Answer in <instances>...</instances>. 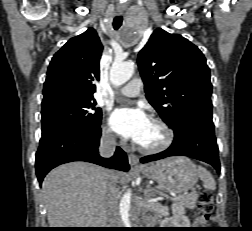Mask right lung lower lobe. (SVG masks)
<instances>
[{"mask_svg": "<svg viewBox=\"0 0 252 231\" xmlns=\"http://www.w3.org/2000/svg\"><path fill=\"white\" fill-rule=\"evenodd\" d=\"M101 128L97 130L77 127H58L42 134L36 153L35 168L39 183L54 167L72 161H86L107 168L129 170L126 153L117 147L113 157L99 155Z\"/></svg>", "mask_w": 252, "mask_h": 231, "instance_id": "right-lung-lower-lobe-1", "label": "right lung lower lobe"}]
</instances>
